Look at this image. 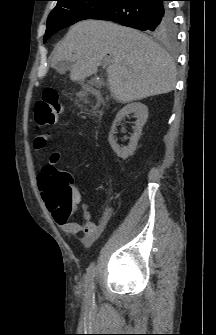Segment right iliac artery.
<instances>
[{"instance_id":"right-iliac-artery-1","label":"right iliac artery","mask_w":216,"mask_h":335,"mask_svg":"<svg viewBox=\"0 0 216 335\" xmlns=\"http://www.w3.org/2000/svg\"><path fill=\"white\" fill-rule=\"evenodd\" d=\"M94 263H91L87 269L86 286H87V301L89 304L94 302Z\"/></svg>"}]
</instances>
